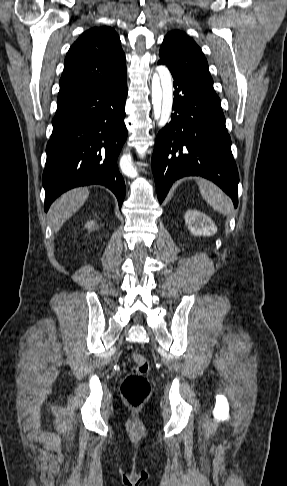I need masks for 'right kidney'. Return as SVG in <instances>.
<instances>
[{
  "label": "right kidney",
  "instance_id": "1",
  "mask_svg": "<svg viewBox=\"0 0 287 486\" xmlns=\"http://www.w3.org/2000/svg\"><path fill=\"white\" fill-rule=\"evenodd\" d=\"M94 225H95V222H94V221H88V222L86 223V227H87L88 229L93 228V227H94Z\"/></svg>",
  "mask_w": 287,
  "mask_h": 486
}]
</instances>
